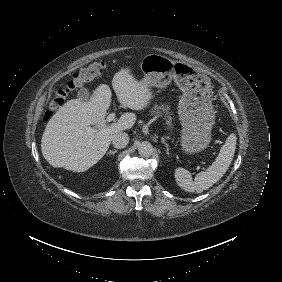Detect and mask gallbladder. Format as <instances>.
<instances>
[{
	"instance_id": "obj_1",
	"label": "gallbladder",
	"mask_w": 282,
	"mask_h": 282,
	"mask_svg": "<svg viewBox=\"0 0 282 282\" xmlns=\"http://www.w3.org/2000/svg\"><path fill=\"white\" fill-rule=\"evenodd\" d=\"M78 98L82 101V102H87L89 101L90 98V93L86 88H81L78 91Z\"/></svg>"
}]
</instances>
